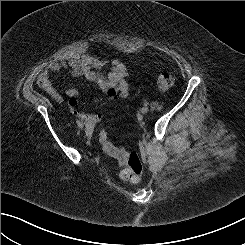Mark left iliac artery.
Masks as SVG:
<instances>
[{
    "mask_svg": "<svg viewBox=\"0 0 245 245\" xmlns=\"http://www.w3.org/2000/svg\"><path fill=\"white\" fill-rule=\"evenodd\" d=\"M149 103L148 102H144V105L147 106Z\"/></svg>",
    "mask_w": 245,
    "mask_h": 245,
    "instance_id": "1",
    "label": "left iliac artery"
}]
</instances>
